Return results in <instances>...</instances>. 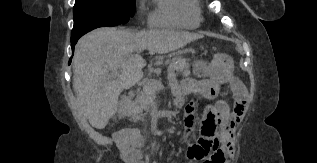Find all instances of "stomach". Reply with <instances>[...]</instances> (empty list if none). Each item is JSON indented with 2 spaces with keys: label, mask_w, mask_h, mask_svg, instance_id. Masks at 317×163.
Listing matches in <instances>:
<instances>
[{
  "label": "stomach",
  "mask_w": 317,
  "mask_h": 163,
  "mask_svg": "<svg viewBox=\"0 0 317 163\" xmlns=\"http://www.w3.org/2000/svg\"><path fill=\"white\" fill-rule=\"evenodd\" d=\"M198 69H203V74L209 75L216 79L219 83L226 82L233 74V59L222 53L214 54L211 61L203 63Z\"/></svg>",
  "instance_id": "obj_1"
}]
</instances>
